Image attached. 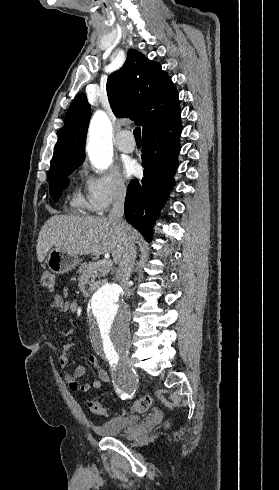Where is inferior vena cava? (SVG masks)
<instances>
[{"label":"inferior vena cava","instance_id":"1","mask_svg":"<svg viewBox=\"0 0 279 490\" xmlns=\"http://www.w3.org/2000/svg\"><path fill=\"white\" fill-rule=\"evenodd\" d=\"M126 190L122 186H116L113 192V204L112 210L109 212L108 220L112 226L120 228V236L124 242L123 256L118 262V268L116 270L115 278L122 290H124V296L130 298L132 292L130 286H128V280L133 272L137 252L135 248V240H132L130 236H127L128 232H125L126 228L125 220H122L124 214V202H125Z\"/></svg>","mask_w":279,"mask_h":490}]
</instances>
